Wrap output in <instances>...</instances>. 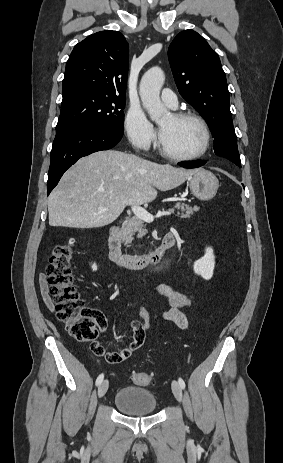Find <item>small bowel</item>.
Wrapping results in <instances>:
<instances>
[{"label":"small bowel","instance_id":"small-bowel-1","mask_svg":"<svg viewBox=\"0 0 283 463\" xmlns=\"http://www.w3.org/2000/svg\"><path fill=\"white\" fill-rule=\"evenodd\" d=\"M40 288L46 305L52 308L51 300L48 295V286L43 274L40 277ZM157 292L167 298L171 306L170 309L164 312V319L182 330L186 329L188 327V321L182 309L192 305L191 298L187 294L177 291L165 283L157 285ZM139 313L143 322L137 320L131 321L130 326L133 331L132 341L129 346L115 352L119 355V361L116 363L124 362L129 359L132 353L141 348L147 339L149 331V313L143 306H140Z\"/></svg>","mask_w":283,"mask_h":463}]
</instances>
